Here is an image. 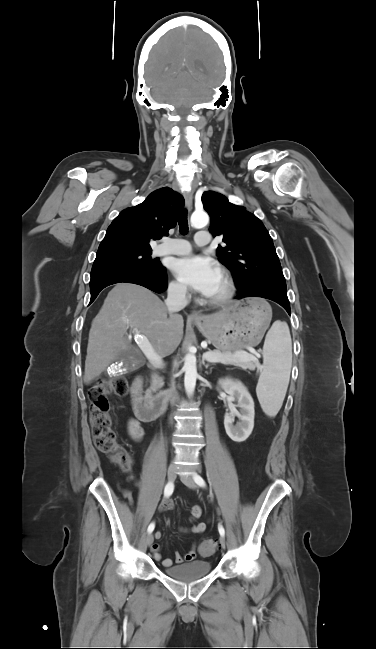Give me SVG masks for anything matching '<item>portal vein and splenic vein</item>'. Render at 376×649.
I'll return each instance as SVG.
<instances>
[{
  "mask_svg": "<svg viewBox=\"0 0 376 649\" xmlns=\"http://www.w3.org/2000/svg\"><path fill=\"white\" fill-rule=\"evenodd\" d=\"M134 339L137 342V344L140 346L141 350L145 354V356L148 358V360L156 367H161L163 365L162 358L154 351V348L148 341L147 337L143 334H139L137 332L134 333ZM204 358L208 362H226V361H249L253 360L256 361L257 358L252 355L248 354L246 352H236V353H206L204 354Z\"/></svg>",
  "mask_w": 376,
  "mask_h": 649,
  "instance_id": "1",
  "label": "portal vein and splenic vein"
}]
</instances>
